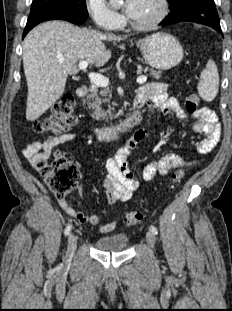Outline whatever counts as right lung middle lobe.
Masks as SVG:
<instances>
[{"instance_id":"obj_1","label":"right lung middle lobe","mask_w":232,"mask_h":311,"mask_svg":"<svg viewBox=\"0 0 232 311\" xmlns=\"http://www.w3.org/2000/svg\"><path fill=\"white\" fill-rule=\"evenodd\" d=\"M45 8H64L88 16L85 0H33L31 12Z\"/></svg>"}]
</instances>
